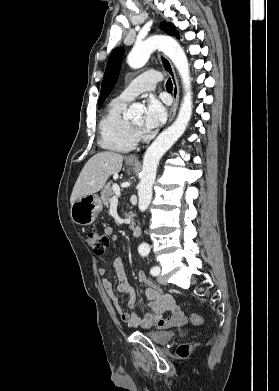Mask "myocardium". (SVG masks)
<instances>
[{
  "mask_svg": "<svg viewBox=\"0 0 279 391\" xmlns=\"http://www.w3.org/2000/svg\"><path fill=\"white\" fill-rule=\"evenodd\" d=\"M130 123H131L132 127L134 128V130H139L140 129L139 125H136L133 122H130Z\"/></svg>",
  "mask_w": 279,
  "mask_h": 391,
  "instance_id": "1",
  "label": "myocardium"
}]
</instances>
